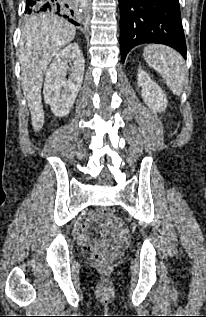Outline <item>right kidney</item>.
<instances>
[{
  "instance_id": "right-kidney-1",
  "label": "right kidney",
  "mask_w": 206,
  "mask_h": 317,
  "mask_svg": "<svg viewBox=\"0 0 206 317\" xmlns=\"http://www.w3.org/2000/svg\"><path fill=\"white\" fill-rule=\"evenodd\" d=\"M71 65V67H69ZM67 71H71L66 79ZM84 76V57L77 43H71L54 58L46 72L44 99L57 116L69 114Z\"/></svg>"
}]
</instances>
